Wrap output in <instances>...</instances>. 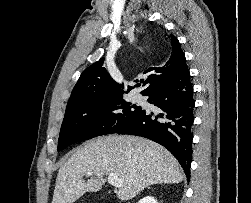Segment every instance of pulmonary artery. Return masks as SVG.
<instances>
[{"label":"pulmonary artery","mask_w":251,"mask_h":203,"mask_svg":"<svg viewBox=\"0 0 251 203\" xmlns=\"http://www.w3.org/2000/svg\"><path fill=\"white\" fill-rule=\"evenodd\" d=\"M134 98H135L136 101H141L142 100V96L139 95V94L135 95Z\"/></svg>","instance_id":"1"}]
</instances>
